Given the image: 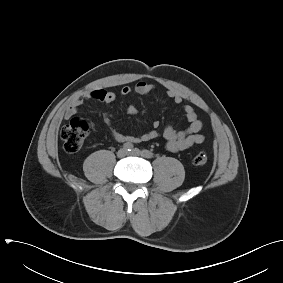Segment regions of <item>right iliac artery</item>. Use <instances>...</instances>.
Here are the masks:
<instances>
[{"label": "right iliac artery", "instance_id": "82829eb1", "mask_svg": "<svg viewBox=\"0 0 283 283\" xmlns=\"http://www.w3.org/2000/svg\"><path fill=\"white\" fill-rule=\"evenodd\" d=\"M133 147H134L133 144H132V143H129V142L123 144V148H124L126 151H131V150L133 149Z\"/></svg>", "mask_w": 283, "mask_h": 283}]
</instances>
